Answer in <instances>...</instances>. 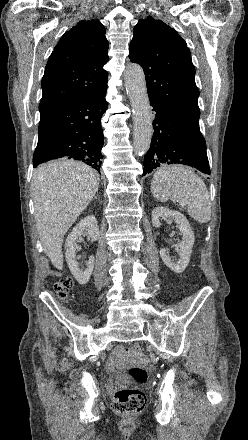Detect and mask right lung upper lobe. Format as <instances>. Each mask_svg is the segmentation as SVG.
I'll return each mask as SVG.
<instances>
[{
	"label": "right lung upper lobe",
	"instance_id": "right-lung-upper-lobe-1",
	"mask_svg": "<svg viewBox=\"0 0 248 440\" xmlns=\"http://www.w3.org/2000/svg\"><path fill=\"white\" fill-rule=\"evenodd\" d=\"M105 28L98 20H82L65 32L47 62L41 87L40 113L74 98L107 88Z\"/></svg>",
	"mask_w": 248,
	"mask_h": 440
}]
</instances>
